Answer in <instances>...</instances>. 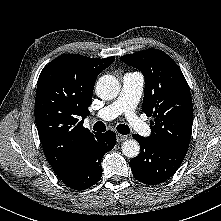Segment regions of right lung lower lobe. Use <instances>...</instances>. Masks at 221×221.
I'll list each match as a JSON object with an SVG mask.
<instances>
[{
	"instance_id": "right-lung-lower-lobe-1",
	"label": "right lung lower lobe",
	"mask_w": 221,
	"mask_h": 221,
	"mask_svg": "<svg viewBox=\"0 0 221 221\" xmlns=\"http://www.w3.org/2000/svg\"><path fill=\"white\" fill-rule=\"evenodd\" d=\"M115 143L114 132L95 133L88 140L76 167L60 178L62 182L74 190L88 189L96 184L102 176L100 161L106 152L113 149Z\"/></svg>"
}]
</instances>
